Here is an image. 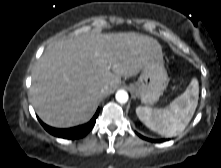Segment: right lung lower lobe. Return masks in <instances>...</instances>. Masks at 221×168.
I'll list each match as a JSON object with an SVG mask.
<instances>
[{"mask_svg": "<svg viewBox=\"0 0 221 168\" xmlns=\"http://www.w3.org/2000/svg\"><path fill=\"white\" fill-rule=\"evenodd\" d=\"M98 114H99V109L97 110L93 118L90 120V122H88L87 124L76 126L73 128H67V129L53 128L44 124L41 120L39 121L42 124V126L46 129V131H48L50 134L56 137L65 138V139H78V138L84 137L91 131V129L93 128L96 122V118L98 117Z\"/></svg>", "mask_w": 221, "mask_h": 168, "instance_id": "obj_1", "label": "right lung lower lobe"}]
</instances>
